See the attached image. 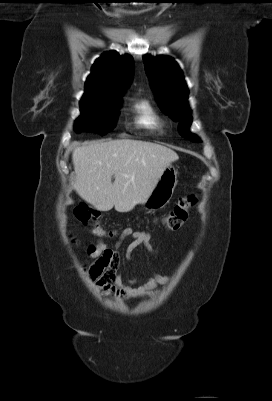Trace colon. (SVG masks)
<instances>
[{
  "instance_id": "obj_1",
  "label": "colon",
  "mask_w": 272,
  "mask_h": 401,
  "mask_svg": "<svg viewBox=\"0 0 272 401\" xmlns=\"http://www.w3.org/2000/svg\"><path fill=\"white\" fill-rule=\"evenodd\" d=\"M195 201L193 196L182 198L174 208L164 216V225L172 230L179 229L186 222ZM75 216L80 223L92 225L94 235L99 237L107 236V231L99 225L101 214L97 209L86 204H80L75 208Z\"/></svg>"
}]
</instances>
